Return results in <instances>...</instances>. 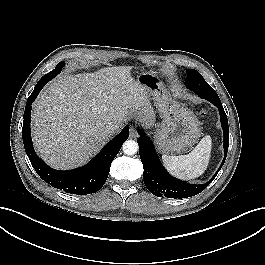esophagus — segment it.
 I'll use <instances>...</instances> for the list:
<instances>
[{"instance_id": "esophagus-1", "label": "esophagus", "mask_w": 265, "mask_h": 265, "mask_svg": "<svg viewBox=\"0 0 265 265\" xmlns=\"http://www.w3.org/2000/svg\"><path fill=\"white\" fill-rule=\"evenodd\" d=\"M129 136L130 138H136L138 136V132L134 126L130 127Z\"/></svg>"}]
</instances>
